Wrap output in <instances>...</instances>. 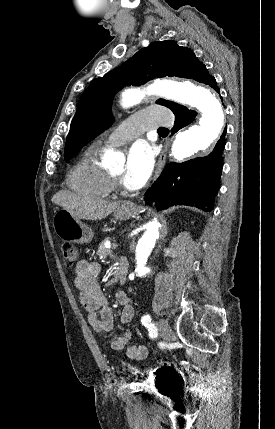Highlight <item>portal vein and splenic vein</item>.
<instances>
[{"mask_svg": "<svg viewBox=\"0 0 275 429\" xmlns=\"http://www.w3.org/2000/svg\"><path fill=\"white\" fill-rule=\"evenodd\" d=\"M113 247H114V248H116V247H117V244H113Z\"/></svg>", "mask_w": 275, "mask_h": 429, "instance_id": "obj_1", "label": "portal vein and splenic vein"}]
</instances>
